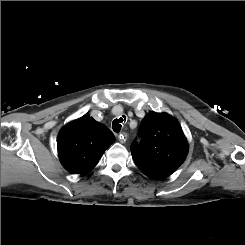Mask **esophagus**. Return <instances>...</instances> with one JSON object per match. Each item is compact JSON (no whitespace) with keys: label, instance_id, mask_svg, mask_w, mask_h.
<instances>
[{"label":"esophagus","instance_id":"esophagus-1","mask_svg":"<svg viewBox=\"0 0 245 245\" xmlns=\"http://www.w3.org/2000/svg\"><path fill=\"white\" fill-rule=\"evenodd\" d=\"M128 134L126 132H122L118 135V139L120 143H125L127 141Z\"/></svg>","mask_w":245,"mask_h":245}]
</instances>
